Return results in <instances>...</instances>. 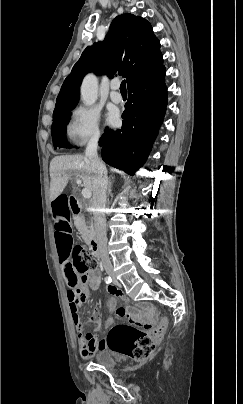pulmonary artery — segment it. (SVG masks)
<instances>
[{"instance_id": "e3ab8cb5", "label": "pulmonary artery", "mask_w": 243, "mask_h": 404, "mask_svg": "<svg viewBox=\"0 0 243 404\" xmlns=\"http://www.w3.org/2000/svg\"><path fill=\"white\" fill-rule=\"evenodd\" d=\"M110 86H111V92H110L111 100L116 104L121 103L122 94L120 93V90H119V88H120L119 78L112 79Z\"/></svg>"}]
</instances>
